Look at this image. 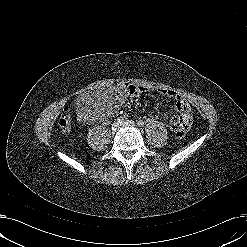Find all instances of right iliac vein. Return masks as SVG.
<instances>
[{"instance_id":"obj_1","label":"right iliac vein","mask_w":247,"mask_h":247,"mask_svg":"<svg viewBox=\"0 0 247 247\" xmlns=\"http://www.w3.org/2000/svg\"><path fill=\"white\" fill-rule=\"evenodd\" d=\"M118 127H119V124H114V125L112 126V130H113V131H116Z\"/></svg>"}]
</instances>
